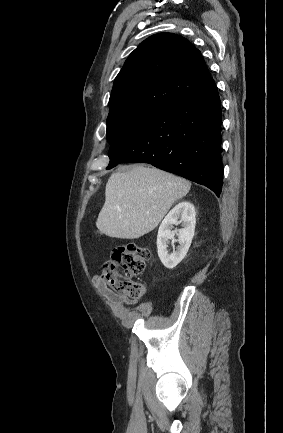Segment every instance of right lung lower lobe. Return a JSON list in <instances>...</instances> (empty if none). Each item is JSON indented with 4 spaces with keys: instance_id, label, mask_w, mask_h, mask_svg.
<instances>
[{
    "instance_id": "right-lung-lower-lobe-1",
    "label": "right lung lower lobe",
    "mask_w": 283,
    "mask_h": 433,
    "mask_svg": "<svg viewBox=\"0 0 283 433\" xmlns=\"http://www.w3.org/2000/svg\"><path fill=\"white\" fill-rule=\"evenodd\" d=\"M221 101L215 83L154 116L133 140L110 158L118 163H149L210 188L223 184Z\"/></svg>"
}]
</instances>
